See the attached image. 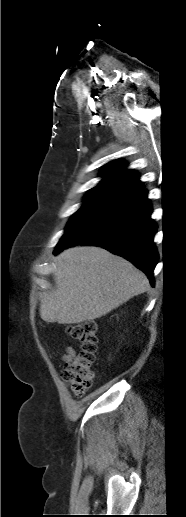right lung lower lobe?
Listing matches in <instances>:
<instances>
[{"instance_id": "right-lung-lower-lobe-1", "label": "right lung lower lobe", "mask_w": 186, "mask_h": 517, "mask_svg": "<svg viewBox=\"0 0 186 517\" xmlns=\"http://www.w3.org/2000/svg\"><path fill=\"white\" fill-rule=\"evenodd\" d=\"M151 213L147 190L142 189L115 203L68 239L58 243L54 254L75 245L100 246L132 262L147 275L153 286L158 252L153 243L157 226L150 218Z\"/></svg>"}]
</instances>
